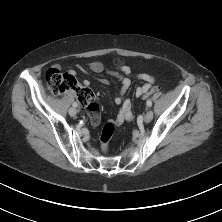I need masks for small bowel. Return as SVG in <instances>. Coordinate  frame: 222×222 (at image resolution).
I'll return each instance as SVG.
<instances>
[{
    "label": "small bowel",
    "instance_id": "obj_1",
    "mask_svg": "<svg viewBox=\"0 0 222 222\" xmlns=\"http://www.w3.org/2000/svg\"><path fill=\"white\" fill-rule=\"evenodd\" d=\"M89 70L92 73L99 74L104 71V65L100 61H93L88 65ZM73 73V72H72ZM131 71L127 66L121 67L119 70H110L108 74L119 79L121 86L119 90V94L114 98V103L120 105V109L116 115V117L111 121L112 124L122 125L125 122H129L133 120L132 113V104L129 99L125 98L130 86L131 80L129 78ZM137 79L143 82V85L138 86L135 90L136 97H142L147 90L151 89L152 84L154 82V77L147 73H140L137 75ZM102 84H108L109 81L107 79H100ZM90 81L88 79H83L82 84L84 86H88ZM100 122V116L98 113H91V123L96 126Z\"/></svg>",
    "mask_w": 222,
    "mask_h": 222
}]
</instances>
